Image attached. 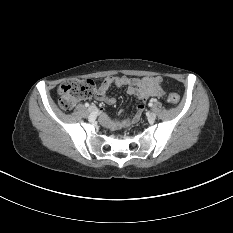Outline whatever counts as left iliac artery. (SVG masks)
<instances>
[{
	"mask_svg": "<svg viewBox=\"0 0 233 233\" xmlns=\"http://www.w3.org/2000/svg\"><path fill=\"white\" fill-rule=\"evenodd\" d=\"M148 105H149V107H152V105H153L152 101Z\"/></svg>",
	"mask_w": 233,
	"mask_h": 233,
	"instance_id": "obj_1",
	"label": "left iliac artery"
}]
</instances>
